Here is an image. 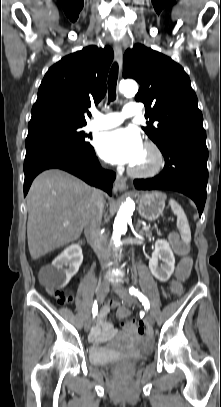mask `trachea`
<instances>
[{"instance_id": "obj_1", "label": "trachea", "mask_w": 221, "mask_h": 407, "mask_svg": "<svg viewBox=\"0 0 221 407\" xmlns=\"http://www.w3.org/2000/svg\"><path fill=\"white\" fill-rule=\"evenodd\" d=\"M118 79V64L115 62L110 70L108 77V101L116 99V85Z\"/></svg>"}]
</instances>
